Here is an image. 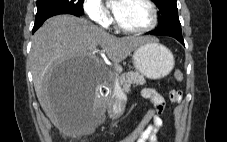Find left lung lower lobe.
Here are the masks:
<instances>
[{"instance_id":"0a47b994","label":"left lung lower lobe","mask_w":227,"mask_h":142,"mask_svg":"<svg viewBox=\"0 0 227 142\" xmlns=\"http://www.w3.org/2000/svg\"><path fill=\"white\" fill-rule=\"evenodd\" d=\"M147 34L171 36V37H174L175 39H177L181 44L184 45V40H183V37H182V33L178 32V31L155 29L154 31H150Z\"/></svg>"}]
</instances>
